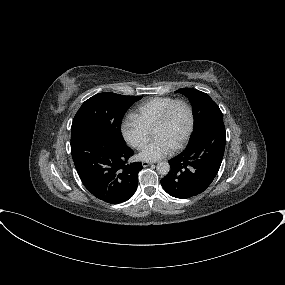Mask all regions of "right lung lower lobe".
I'll list each match as a JSON object with an SVG mask.
<instances>
[{
	"mask_svg": "<svg viewBox=\"0 0 285 285\" xmlns=\"http://www.w3.org/2000/svg\"><path fill=\"white\" fill-rule=\"evenodd\" d=\"M133 153L104 135L71 132V154L78 175L87 190L104 202L122 203L135 193L143 167L139 162L128 163Z\"/></svg>",
	"mask_w": 285,
	"mask_h": 285,
	"instance_id": "obj_1",
	"label": "right lung lower lobe"
}]
</instances>
